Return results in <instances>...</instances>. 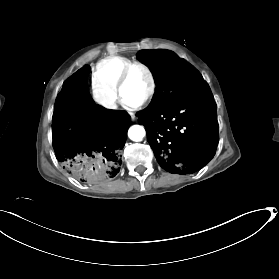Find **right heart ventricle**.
I'll return each instance as SVG.
<instances>
[{"mask_svg": "<svg viewBox=\"0 0 279 279\" xmlns=\"http://www.w3.org/2000/svg\"><path fill=\"white\" fill-rule=\"evenodd\" d=\"M131 62H133L132 59L124 56H109L101 59L92 68V83L101 84L114 93L118 94V77L123 68Z\"/></svg>", "mask_w": 279, "mask_h": 279, "instance_id": "e07e8e85", "label": "right heart ventricle"}]
</instances>
